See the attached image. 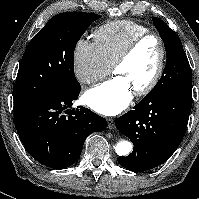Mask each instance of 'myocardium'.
I'll return each instance as SVG.
<instances>
[{"instance_id":"myocardium-1","label":"myocardium","mask_w":199,"mask_h":199,"mask_svg":"<svg viewBox=\"0 0 199 199\" xmlns=\"http://www.w3.org/2000/svg\"><path fill=\"white\" fill-rule=\"evenodd\" d=\"M148 38H154L159 45V60L156 67V70L151 77V79L141 88L136 89L133 91V94L135 96H145L149 94L159 83L163 72L165 68V61H166V47L165 43L162 39V37L153 31H148L144 34H141L134 38L122 51V53L117 57V59L114 61L112 65V73H115V71L122 66L127 60L132 56V54L135 52L137 47L146 39Z\"/></svg>"}]
</instances>
